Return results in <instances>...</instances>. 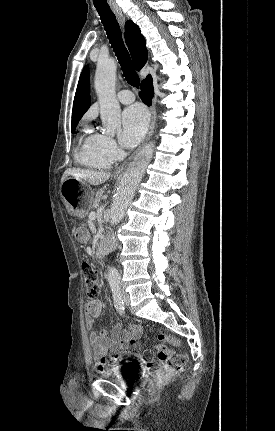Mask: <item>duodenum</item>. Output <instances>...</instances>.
Returning a JSON list of instances; mask_svg holds the SVG:
<instances>
[{
	"instance_id": "duodenum-1",
	"label": "duodenum",
	"mask_w": 275,
	"mask_h": 431,
	"mask_svg": "<svg viewBox=\"0 0 275 431\" xmlns=\"http://www.w3.org/2000/svg\"><path fill=\"white\" fill-rule=\"evenodd\" d=\"M115 248V243L109 238H102L97 244L95 251L97 258H102Z\"/></svg>"
}]
</instances>
